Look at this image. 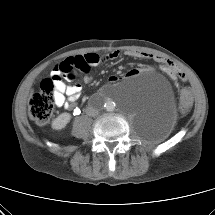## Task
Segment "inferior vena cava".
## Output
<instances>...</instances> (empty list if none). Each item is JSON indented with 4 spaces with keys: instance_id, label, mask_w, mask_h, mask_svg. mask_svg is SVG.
Segmentation results:
<instances>
[{
    "instance_id": "602c4592",
    "label": "inferior vena cava",
    "mask_w": 215,
    "mask_h": 215,
    "mask_svg": "<svg viewBox=\"0 0 215 215\" xmlns=\"http://www.w3.org/2000/svg\"><path fill=\"white\" fill-rule=\"evenodd\" d=\"M86 114L88 116L95 117V116H97L99 114V110L97 108L93 107V106H88L86 108Z\"/></svg>"
}]
</instances>
